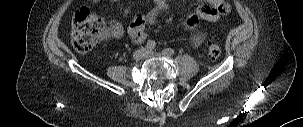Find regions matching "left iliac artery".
I'll return each instance as SVG.
<instances>
[{
  "mask_svg": "<svg viewBox=\"0 0 303 127\" xmlns=\"http://www.w3.org/2000/svg\"><path fill=\"white\" fill-rule=\"evenodd\" d=\"M175 51L174 49L171 48H166L162 51V54L166 55V56H172L174 55Z\"/></svg>",
  "mask_w": 303,
  "mask_h": 127,
  "instance_id": "44dca946",
  "label": "left iliac artery"
}]
</instances>
